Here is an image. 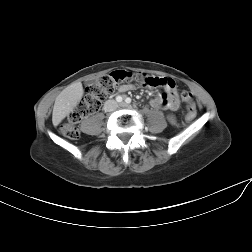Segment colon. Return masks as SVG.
Masks as SVG:
<instances>
[{"label": "colon", "instance_id": "obj_1", "mask_svg": "<svg viewBox=\"0 0 252 252\" xmlns=\"http://www.w3.org/2000/svg\"><path fill=\"white\" fill-rule=\"evenodd\" d=\"M131 82H138L145 86H154L142 73H132L125 70L113 71L100 77L91 84L85 96L76 104L67 120L60 125V133L70 139L79 137L77 124L86 116L98 111L103 100L117 90H123ZM182 100L187 105L186 119L191 121L196 116V107L193 96L190 92L184 91L181 94Z\"/></svg>", "mask_w": 252, "mask_h": 252}]
</instances>
